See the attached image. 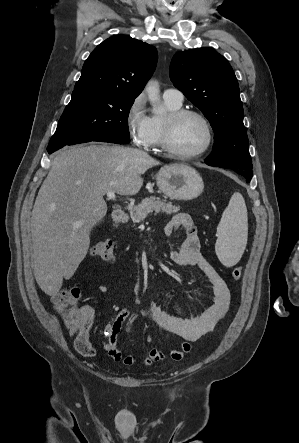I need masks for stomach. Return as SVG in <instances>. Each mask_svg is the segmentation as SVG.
Segmentation results:
<instances>
[{"instance_id":"obj_1","label":"stomach","mask_w":299,"mask_h":443,"mask_svg":"<svg viewBox=\"0 0 299 443\" xmlns=\"http://www.w3.org/2000/svg\"><path fill=\"white\" fill-rule=\"evenodd\" d=\"M156 183L165 196L175 200H192L204 189L200 174L185 164L163 166L156 175Z\"/></svg>"}]
</instances>
